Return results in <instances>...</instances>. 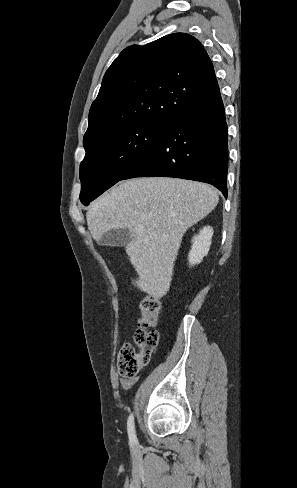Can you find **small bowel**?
<instances>
[{"instance_id": "c3829d8e", "label": "small bowel", "mask_w": 297, "mask_h": 488, "mask_svg": "<svg viewBox=\"0 0 297 488\" xmlns=\"http://www.w3.org/2000/svg\"><path fill=\"white\" fill-rule=\"evenodd\" d=\"M138 379H139L138 377H132V378L121 377L120 384L123 389L128 390L138 381Z\"/></svg>"}]
</instances>
